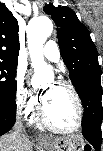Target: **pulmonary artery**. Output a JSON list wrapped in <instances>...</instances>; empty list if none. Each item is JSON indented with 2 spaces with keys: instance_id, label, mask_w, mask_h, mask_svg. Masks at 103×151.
<instances>
[{
  "instance_id": "e3ab8cb5",
  "label": "pulmonary artery",
  "mask_w": 103,
  "mask_h": 151,
  "mask_svg": "<svg viewBox=\"0 0 103 151\" xmlns=\"http://www.w3.org/2000/svg\"><path fill=\"white\" fill-rule=\"evenodd\" d=\"M43 55L50 61L59 62L60 51L57 43L53 40L47 41L43 48Z\"/></svg>"
}]
</instances>
